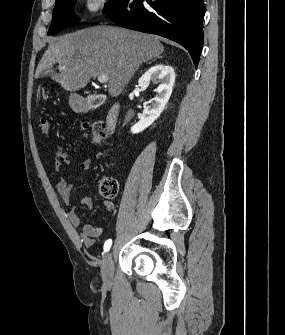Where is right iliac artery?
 <instances>
[{"label":"right iliac artery","instance_id":"82829eb1","mask_svg":"<svg viewBox=\"0 0 285 335\" xmlns=\"http://www.w3.org/2000/svg\"><path fill=\"white\" fill-rule=\"evenodd\" d=\"M111 245H112V240L108 239L104 244V251L105 252L108 251L110 249Z\"/></svg>","mask_w":285,"mask_h":335}]
</instances>
